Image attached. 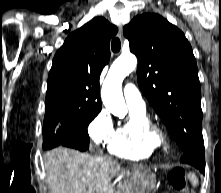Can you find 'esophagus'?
Returning <instances> with one entry per match:
<instances>
[{
  "label": "esophagus",
  "mask_w": 221,
  "mask_h": 193,
  "mask_svg": "<svg viewBox=\"0 0 221 193\" xmlns=\"http://www.w3.org/2000/svg\"><path fill=\"white\" fill-rule=\"evenodd\" d=\"M119 38L122 41L123 40V31H122V27L119 28Z\"/></svg>",
  "instance_id": "esophagus-1"
}]
</instances>
